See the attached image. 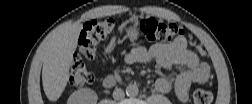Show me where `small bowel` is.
<instances>
[{
  "label": "small bowel",
  "mask_w": 252,
  "mask_h": 104,
  "mask_svg": "<svg viewBox=\"0 0 252 104\" xmlns=\"http://www.w3.org/2000/svg\"><path fill=\"white\" fill-rule=\"evenodd\" d=\"M155 61L170 73L157 79L155 86L161 93H168L174 87L177 98L185 102L192 84L205 83L209 78V67L200 62L197 55L187 48L184 37L170 43H155L149 48L137 46L125 56L127 64Z\"/></svg>",
  "instance_id": "1"
}]
</instances>
